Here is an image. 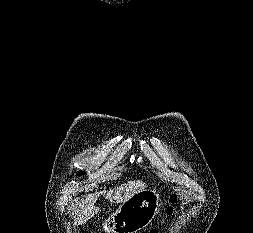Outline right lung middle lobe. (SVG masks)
I'll return each mask as SVG.
<instances>
[{"label": "right lung middle lobe", "instance_id": "dd1d6c3e", "mask_svg": "<svg viewBox=\"0 0 253 233\" xmlns=\"http://www.w3.org/2000/svg\"><path fill=\"white\" fill-rule=\"evenodd\" d=\"M82 174H83V172H79V173H78V175H82Z\"/></svg>", "mask_w": 253, "mask_h": 233}]
</instances>
